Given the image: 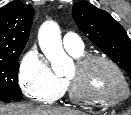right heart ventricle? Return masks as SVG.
<instances>
[{
    "mask_svg": "<svg viewBox=\"0 0 131 115\" xmlns=\"http://www.w3.org/2000/svg\"><path fill=\"white\" fill-rule=\"evenodd\" d=\"M75 58H81L84 56V51L79 52V53H71Z\"/></svg>",
    "mask_w": 131,
    "mask_h": 115,
    "instance_id": "e07e8e85",
    "label": "right heart ventricle"
}]
</instances>
